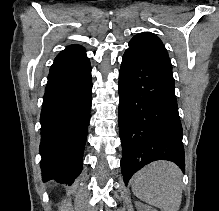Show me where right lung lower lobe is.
Returning a JSON list of instances; mask_svg holds the SVG:
<instances>
[{
	"label": "right lung lower lobe",
	"mask_w": 219,
	"mask_h": 211,
	"mask_svg": "<svg viewBox=\"0 0 219 211\" xmlns=\"http://www.w3.org/2000/svg\"><path fill=\"white\" fill-rule=\"evenodd\" d=\"M87 57L52 64L41 112V169L44 181L71 184L82 170L91 107Z\"/></svg>",
	"instance_id": "1"
}]
</instances>
